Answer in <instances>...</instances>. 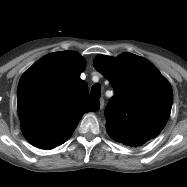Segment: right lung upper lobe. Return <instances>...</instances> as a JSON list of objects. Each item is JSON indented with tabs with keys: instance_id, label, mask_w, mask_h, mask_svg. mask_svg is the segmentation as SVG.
<instances>
[{
	"instance_id": "right-lung-upper-lobe-1",
	"label": "right lung upper lobe",
	"mask_w": 187,
	"mask_h": 187,
	"mask_svg": "<svg viewBox=\"0 0 187 187\" xmlns=\"http://www.w3.org/2000/svg\"><path fill=\"white\" fill-rule=\"evenodd\" d=\"M85 65L78 53L60 51L42 57L22 75L17 109L22 132L32 145L53 149L71 136L84 113L99 109L80 78Z\"/></svg>"
}]
</instances>
